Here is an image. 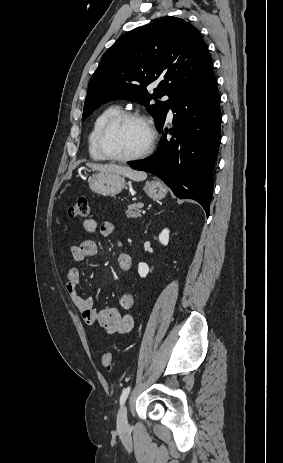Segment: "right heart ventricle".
Returning a JSON list of instances; mask_svg holds the SVG:
<instances>
[{
  "mask_svg": "<svg viewBox=\"0 0 283 463\" xmlns=\"http://www.w3.org/2000/svg\"><path fill=\"white\" fill-rule=\"evenodd\" d=\"M121 112L119 105H110L101 110L95 117L87 137L89 156L97 161H104L106 158L98 148V134L102 126L113 116Z\"/></svg>",
  "mask_w": 283,
  "mask_h": 463,
  "instance_id": "e07e8e85",
  "label": "right heart ventricle"
}]
</instances>
